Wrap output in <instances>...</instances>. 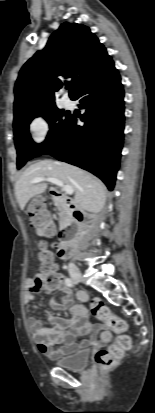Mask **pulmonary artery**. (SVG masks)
<instances>
[{
  "label": "pulmonary artery",
  "mask_w": 155,
  "mask_h": 413,
  "mask_svg": "<svg viewBox=\"0 0 155 413\" xmlns=\"http://www.w3.org/2000/svg\"><path fill=\"white\" fill-rule=\"evenodd\" d=\"M63 103L65 105V107L67 108H72L73 107V101L69 98H64Z\"/></svg>",
  "instance_id": "pulmonary-artery-1"
}]
</instances>
